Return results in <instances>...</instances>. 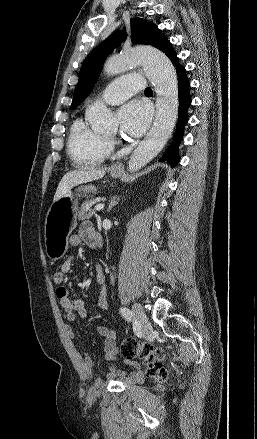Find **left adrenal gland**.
<instances>
[{"instance_id": "1", "label": "left adrenal gland", "mask_w": 257, "mask_h": 439, "mask_svg": "<svg viewBox=\"0 0 257 439\" xmlns=\"http://www.w3.org/2000/svg\"><path fill=\"white\" fill-rule=\"evenodd\" d=\"M119 200H120V198H117L116 196H114V197L111 199V201H110V204H109V207H108L107 212H110L111 209H112L116 204H118Z\"/></svg>"}]
</instances>
